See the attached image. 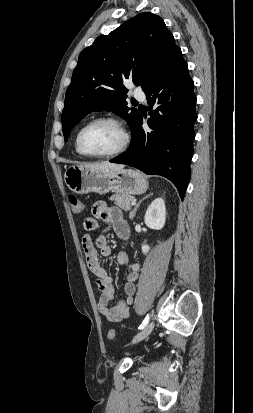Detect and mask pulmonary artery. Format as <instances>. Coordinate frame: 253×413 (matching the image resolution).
Listing matches in <instances>:
<instances>
[{
  "mask_svg": "<svg viewBox=\"0 0 253 413\" xmlns=\"http://www.w3.org/2000/svg\"><path fill=\"white\" fill-rule=\"evenodd\" d=\"M134 96L138 98L139 100L144 101L145 100V94L140 88H136L133 92Z\"/></svg>",
  "mask_w": 253,
  "mask_h": 413,
  "instance_id": "1",
  "label": "pulmonary artery"
}]
</instances>
